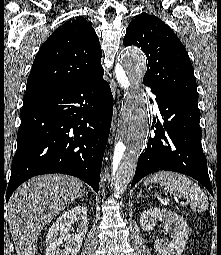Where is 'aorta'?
<instances>
[{
    "label": "aorta",
    "mask_w": 221,
    "mask_h": 255,
    "mask_svg": "<svg viewBox=\"0 0 221 255\" xmlns=\"http://www.w3.org/2000/svg\"><path fill=\"white\" fill-rule=\"evenodd\" d=\"M121 68L117 70L118 82L123 87L133 84L127 96L124 116V139L116 144L111 180L118 198L130 183L149 134L150 115L145 92L139 88L145 70L146 57L138 48L130 47L121 56Z\"/></svg>",
    "instance_id": "aorta-1"
}]
</instances>
